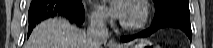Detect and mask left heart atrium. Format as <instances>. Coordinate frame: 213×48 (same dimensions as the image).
Segmentation results:
<instances>
[{
    "label": "left heart atrium",
    "instance_id": "left-heart-atrium-1",
    "mask_svg": "<svg viewBox=\"0 0 213 48\" xmlns=\"http://www.w3.org/2000/svg\"><path fill=\"white\" fill-rule=\"evenodd\" d=\"M102 8L111 17L124 20L127 14L128 4L125 0L105 1Z\"/></svg>",
    "mask_w": 213,
    "mask_h": 48
}]
</instances>
